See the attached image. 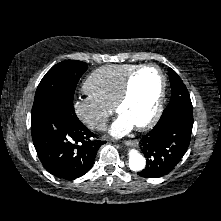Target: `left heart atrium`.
Segmentation results:
<instances>
[{
	"label": "left heart atrium",
	"instance_id": "obj_1",
	"mask_svg": "<svg viewBox=\"0 0 221 221\" xmlns=\"http://www.w3.org/2000/svg\"><path fill=\"white\" fill-rule=\"evenodd\" d=\"M135 125L124 115H121L112 123L109 133L113 137H122L128 134Z\"/></svg>",
	"mask_w": 221,
	"mask_h": 221
}]
</instances>
